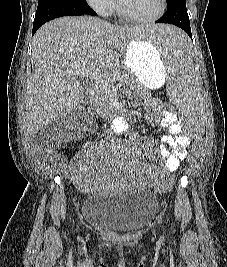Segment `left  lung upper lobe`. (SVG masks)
<instances>
[{
    "mask_svg": "<svg viewBox=\"0 0 227 267\" xmlns=\"http://www.w3.org/2000/svg\"><path fill=\"white\" fill-rule=\"evenodd\" d=\"M169 1H180V0H166V2H169Z\"/></svg>",
    "mask_w": 227,
    "mask_h": 267,
    "instance_id": "obj_1",
    "label": "left lung upper lobe"
}]
</instances>
